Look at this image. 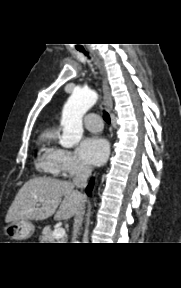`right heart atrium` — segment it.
Masks as SVG:
<instances>
[{"mask_svg": "<svg viewBox=\"0 0 181 288\" xmlns=\"http://www.w3.org/2000/svg\"><path fill=\"white\" fill-rule=\"evenodd\" d=\"M57 169L54 174L61 177H72L86 173L88 167L72 151L67 149H57L56 151Z\"/></svg>", "mask_w": 181, "mask_h": 288, "instance_id": "1", "label": "right heart atrium"}]
</instances>
